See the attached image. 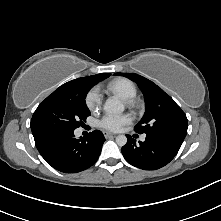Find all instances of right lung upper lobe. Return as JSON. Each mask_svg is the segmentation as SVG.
<instances>
[{
    "label": "right lung upper lobe",
    "mask_w": 221,
    "mask_h": 221,
    "mask_svg": "<svg viewBox=\"0 0 221 221\" xmlns=\"http://www.w3.org/2000/svg\"><path fill=\"white\" fill-rule=\"evenodd\" d=\"M104 76H110V74L109 73L98 74V75L82 77V78H78V79L69 81V82L61 85L58 89H56L53 92V94H62V95L72 94L77 91L80 83H82V82H96V81H98L99 78L104 77Z\"/></svg>",
    "instance_id": "cb5924a9"
}]
</instances>
